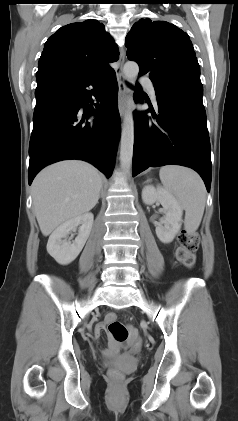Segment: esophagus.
<instances>
[{
  "label": "esophagus",
  "instance_id": "obj_1",
  "mask_svg": "<svg viewBox=\"0 0 238 421\" xmlns=\"http://www.w3.org/2000/svg\"><path fill=\"white\" fill-rule=\"evenodd\" d=\"M125 61V50L123 47L120 48V55L118 60V69L116 70V76L118 81V110L120 116L123 118L126 112V96L127 86L126 78L123 73V65Z\"/></svg>",
  "mask_w": 238,
  "mask_h": 421
}]
</instances>
